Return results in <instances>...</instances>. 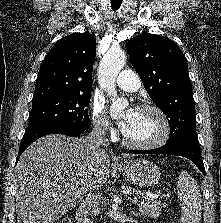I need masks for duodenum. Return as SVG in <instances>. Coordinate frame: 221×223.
Listing matches in <instances>:
<instances>
[{
    "label": "duodenum",
    "mask_w": 221,
    "mask_h": 223,
    "mask_svg": "<svg viewBox=\"0 0 221 223\" xmlns=\"http://www.w3.org/2000/svg\"><path fill=\"white\" fill-rule=\"evenodd\" d=\"M89 208L86 204H80L76 212L77 223H86V216L88 214Z\"/></svg>",
    "instance_id": "1"
}]
</instances>
